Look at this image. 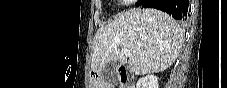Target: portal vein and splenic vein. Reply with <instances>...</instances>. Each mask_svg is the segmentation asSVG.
I'll return each mask as SVG.
<instances>
[{"mask_svg": "<svg viewBox=\"0 0 227 88\" xmlns=\"http://www.w3.org/2000/svg\"><path fill=\"white\" fill-rule=\"evenodd\" d=\"M122 53L126 56H131V52L126 48H122Z\"/></svg>", "mask_w": 227, "mask_h": 88, "instance_id": "1", "label": "portal vein and splenic vein"}]
</instances>
